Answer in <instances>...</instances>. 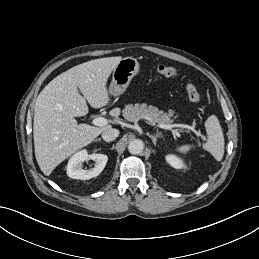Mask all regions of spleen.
<instances>
[{
    "instance_id": "obj_1",
    "label": "spleen",
    "mask_w": 259,
    "mask_h": 259,
    "mask_svg": "<svg viewBox=\"0 0 259 259\" xmlns=\"http://www.w3.org/2000/svg\"><path fill=\"white\" fill-rule=\"evenodd\" d=\"M206 128L208 140L204 144V149L209 151L217 161H220L224 155V137L218 120L214 116L209 117L206 121ZM191 148L190 145H183L178 147L177 151L187 153Z\"/></svg>"
}]
</instances>
